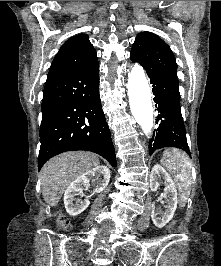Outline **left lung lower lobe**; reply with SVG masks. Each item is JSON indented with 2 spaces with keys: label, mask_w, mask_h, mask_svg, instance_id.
<instances>
[{
  "label": "left lung lower lobe",
  "mask_w": 221,
  "mask_h": 266,
  "mask_svg": "<svg viewBox=\"0 0 221 266\" xmlns=\"http://www.w3.org/2000/svg\"><path fill=\"white\" fill-rule=\"evenodd\" d=\"M147 74L153 86L154 102L159 113L156 134H153L149 142L150 154L163 147H176L190 155L181 114L178 79L161 74Z\"/></svg>",
  "instance_id": "1"
}]
</instances>
